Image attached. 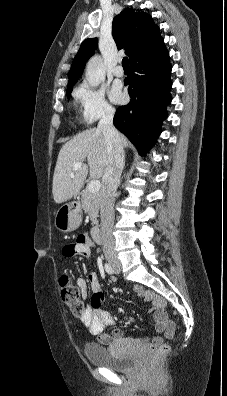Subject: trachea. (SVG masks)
Instances as JSON below:
<instances>
[{"label": "trachea", "mask_w": 227, "mask_h": 396, "mask_svg": "<svg viewBox=\"0 0 227 396\" xmlns=\"http://www.w3.org/2000/svg\"><path fill=\"white\" fill-rule=\"evenodd\" d=\"M122 66L123 68H129V60L127 57H124L122 60Z\"/></svg>", "instance_id": "3493384b"}]
</instances>
